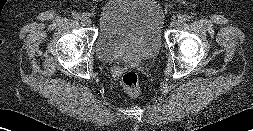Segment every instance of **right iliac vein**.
Instances as JSON below:
<instances>
[{"instance_id": "right-iliac-vein-1", "label": "right iliac vein", "mask_w": 253, "mask_h": 131, "mask_svg": "<svg viewBox=\"0 0 253 131\" xmlns=\"http://www.w3.org/2000/svg\"><path fill=\"white\" fill-rule=\"evenodd\" d=\"M82 22H84L86 25H90L92 23V20L89 16L84 15L82 16Z\"/></svg>"}]
</instances>
